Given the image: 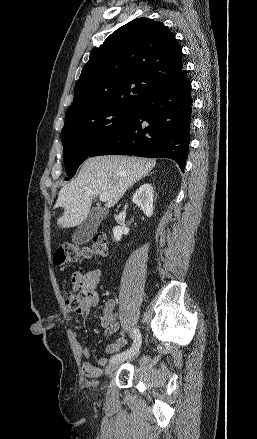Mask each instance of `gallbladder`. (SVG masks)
Segmentation results:
<instances>
[{
	"instance_id": "gallbladder-1",
	"label": "gallbladder",
	"mask_w": 257,
	"mask_h": 439,
	"mask_svg": "<svg viewBox=\"0 0 257 439\" xmlns=\"http://www.w3.org/2000/svg\"><path fill=\"white\" fill-rule=\"evenodd\" d=\"M102 219V213L98 209H92L84 222L78 226L72 235V241L77 245L89 242L93 234L97 231Z\"/></svg>"
}]
</instances>
